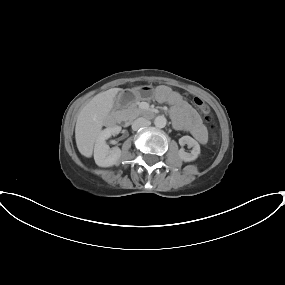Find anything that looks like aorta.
Listing matches in <instances>:
<instances>
[{
  "instance_id": "1",
  "label": "aorta",
  "mask_w": 285,
  "mask_h": 285,
  "mask_svg": "<svg viewBox=\"0 0 285 285\" xmlns=\"http://www.w3.org/2000/svg\"><path fill=\"white\" fill-rule=\"evenodd\" d=\"M166 123H167V119L163 115L157 116L154 120V125L157 128H164L166 126Z\"/></svg>"
}]
</instances>
